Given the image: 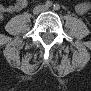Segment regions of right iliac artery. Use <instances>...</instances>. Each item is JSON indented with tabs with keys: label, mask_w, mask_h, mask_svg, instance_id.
Masks as SVG:
<instances>
[{
	"label": "right iliac artery",
	"mask_w": 91,
	"mask_h": 91,
	"mask_svg": "<svg viewBox=\"0 0 91 91\" xmlns=\"http://www.w3.org/2000/svg\"><path fill=\"white\" fill-rule=\"evenodd\" d=\"M45 6L46 7H51L52 6V2L51 1H46L45 2Z\"/></svg>",
	"instance_id": "1"
}]
</instances>
